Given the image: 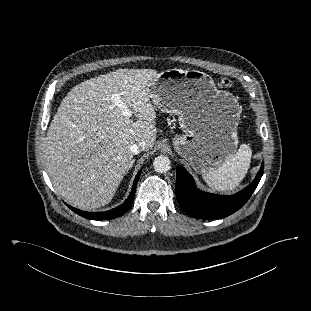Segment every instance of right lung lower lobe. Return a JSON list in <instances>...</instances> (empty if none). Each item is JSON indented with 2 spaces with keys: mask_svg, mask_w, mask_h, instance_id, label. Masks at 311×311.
Wrapping results in <instances>:
<instances>
[{
  "mask_svg": "<svg viewBox=\"0 0 311 311\" xmlns=\"http://www.w3.org/2000/svg\"><path fill=\"white\" fill-rule=\"evenodd\" d=\"M141 171L142 170H140L135 177V180H134L133 186H132V190H131V193H130L128 199L122 205L118 206L117 208H114V209L109 210V211H104V212H85V211L73 208L72 206H69V205H67V206L72 211L77 213L78 215H80L86 219H90V220H107V219H112V218L121 216L125 212H127L132 205L134 195H135V191H136V185H137L138 179L140 177Z\"/></svg>",
  "mask_w": 311,
  "mask_h": 311,
  "instance_id": "98d812e1",
  "label": "right lung lower lobe"
}]
</instances>
